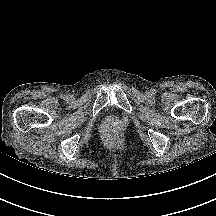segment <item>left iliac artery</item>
Returning a JSON list of instances; mask_svg holds the SVG:
<instances>
[{
  "label": "left iliac artery",
  "instance_id": "44dca946",
  "mask_svg": "<svg viewBox=\"0 0 216 216\" xmlns=\"http://www.w3.org/2000/svg\"><path fill=\"white\" fill-rule=\"evenodd\" d=\"M152 94H156V90L155 89L152 90Z\"/></svg>",
  "mask_w": 216,
  "mask_h": 216
}]
</instances>
